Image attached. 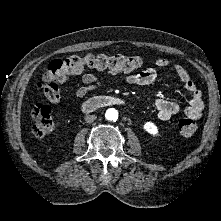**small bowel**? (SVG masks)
<instances>
[{
  "label": "small bowel",
  "instance_id": "c3829d8e",
  "mask_svg": "<svg viewBox=\"0 0 221 221\" xmlns=\"http://www.w3.org/2000/svg\"><path fill=\"white\" fill-rule=\"evenodd\" d=\"M155 67L158 69L166 68L170 66V62L166 58H157L155 60ZM154 67L147 68L139 72L127 73L124 77V81L129 84L137 86H145L153 83L157 78V69ZM172 71L178 77V79L183 83L185 91L189 94L190 100L189 104L184 108V114L187 117L198 119L201 117L204 103L202 100L201 91L197 88L195 83L191 80L187 70L179 65L173 64L171 66ZM107 75H114V72L109 71ZM81 80L83 85L78 87L74 95L77 98H82L92 90L97 89L101 84V79L90 72H84L81 74ZM47 100L53 104H57L61 100L60 94L56 98L46 97ZM155 115L160 120H168L173 115H176L180 107L176 102L167 99H157L155 102Z\"/></svg>",
  "mask_w": 221,
  "mask_h": 221
}]
</instances>
